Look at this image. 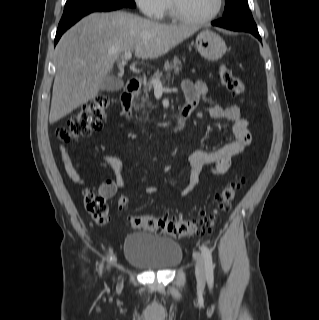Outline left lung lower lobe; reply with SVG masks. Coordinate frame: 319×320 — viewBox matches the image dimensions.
Masks as SVG:
<instances>
[{
    "mask_svg": "<svg viewBox=\"0 0 319 320\" xmlns=\"http://www.w3.org/2000/svg\"><path fill=\"white\" fill-rule=\"evenodd\" d=\"M212 25L219 26L234 31H244L253 34L261 41V37L258 33L257 26L253 19L245 17H227L212 22Z\"/></svg>",
    "mask_w": 319,
    "mask_h": 320,
    "instance_id": "obj_1",
    "label": "left lung lower lobe"
}]
</instances>
